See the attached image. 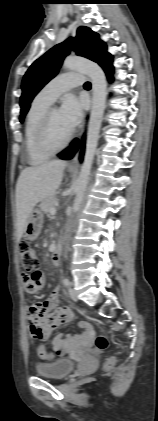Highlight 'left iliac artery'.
<instances>
[{
    "instance_id": "44dca946",
    "label": "left iliac artery",
    "mask_w": 158,
    "mask_h": 421,
    "mask_svg": "<svg viewBox=\"0 0 158 421\" xmlns=\"http://www.w3.org/2000/svg\"><path fill=\"white\" fill-rule=\"evenodd\" d=\"M63 284L66 285V286H69L71 283H70L69 279L65 278V279H63Z\"/></svg>"
}]
</instances>
